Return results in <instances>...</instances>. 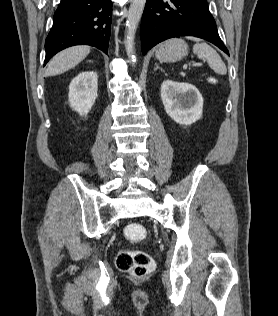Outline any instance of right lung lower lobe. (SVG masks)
<instances>
[{"mask_svg":"<svg viewBox=\"0 0 278 316\" xmlns=\"http://www.w3.org/2000/svg\"><path fill=\"white\" fill-rule=\"evenodd\" d=\"M111 0H61L46 38L44 66L57 52L79 44L95 46L108 54Z\"/></svg>","mask_w":278,"mask_h":316,"instance_id":"right-lung-lower-lobe-1","label":"right lung lower lobe"}]
</instances>
